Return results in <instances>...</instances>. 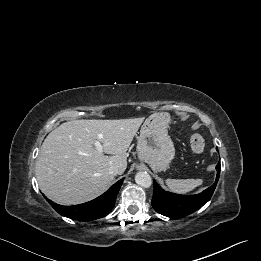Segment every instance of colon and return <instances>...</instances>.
Listing matches in <instances>:
<instances>
[{"label":"colon","mask_w":261,"mask_h":261,"mask_svg":"<svg viewBox=\"0 0 261 261\" xmlns=\"http://www.w3.org/2000/svg\"><path fill=\"white\" fill-rule=\"evenodd\" d=\"M206 147L205 138L201 134H193L190 138V148L194 155H201Z\"/></svg>","instance_id":"obj_1"}]
</instances>
